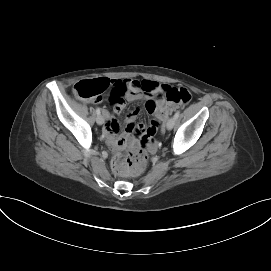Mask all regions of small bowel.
<instances>
[{
	"instance_id": "small-bowel-1",
	"label": "small bowel",
	"mask_w": 271,
	"mask_h": 271,
	"mask_svg": "<svg viewBox=\"0 0 271 271\" xmlns=\"http://www.w3.org/2000/svg\"><path fill=\"white\" fill-rule=\"evenodd\" d=\"M166 86L152 80L127 79L110 81V84L107 86V93L110 95V103L113 105V108L112 113L104 111L106 121L103 129L109 145L114 147L122 146L131 139L132 133L139 138L147 133L149 129L142 123L135 125L138 110H134L127 115L125 119V133L120 135V126L115 119V115L123 111L126 101L144 100L146 110L156 116L157 119L153 121L158 123L159 120H164L167 117L168 110L173 104L159 97Z\"/></svg>"
}]
</instances>
